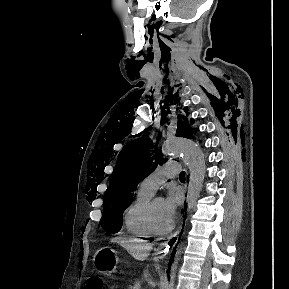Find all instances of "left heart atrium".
Segmentation results:
<instances>
[{"label": "left heart atrium", "mask_w": 289, "mask_h": 289, "mask_svg": "<svg viewBox=\"0 0 289 289\" xmlns=\"http://www.w3.org/2000/svg\"><path fill=\"white\" fill-rule=\"evenodd\" d=\"M182 200L183 196L181 192L176 189H171L166 198L163 199L165 214L170 221L174 218L176 210Z\"/></svg>", "instance_id": "39dd6f15"}]
</instances>
